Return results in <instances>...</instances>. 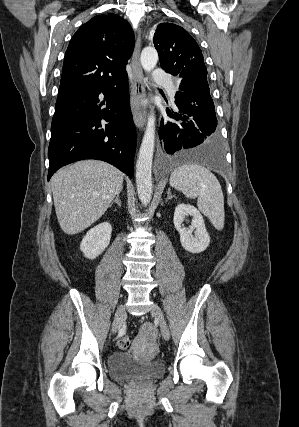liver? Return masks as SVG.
<instances>
[{
	"label": "liver",
	"mask_w": 299,
	"mask_h": 427,
	"mask_svg": "<svg viewBox=\"0 0 299 427\" xmlns=\"http://www.w3.org/2000/svg\"><path fill=\"white\" fill-rule=\"evenodd\" d=\"M124 174L98 160H82L57 171L51 187L57 219L69 235L82 232L107 210L122 190Z\"/></svg>",
	"instance_id": "obj_1"
}]
</instances>
